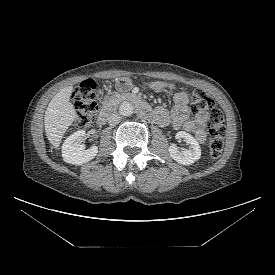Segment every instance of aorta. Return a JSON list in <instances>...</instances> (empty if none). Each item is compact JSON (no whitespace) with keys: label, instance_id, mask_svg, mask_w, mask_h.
<instances>
[{"label":"aorta","instance_id":"obj_1","mask_svg":"<svg viewBox=\"0 0 275 275\" xmlns=\"http://www.w3.org/2000/svg\"><path fill=\"white\" fill-rule=\"evenodd\" d=\"M133 112H134V106L130 102L125 101L121 103V105L119 106V113L122 116H131Z\"/></svg>","mask_w":275,"mask_h":275}]
</instances>
